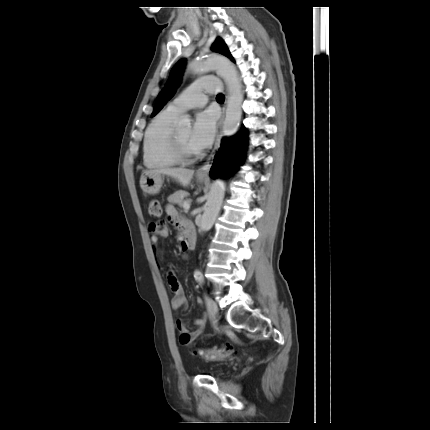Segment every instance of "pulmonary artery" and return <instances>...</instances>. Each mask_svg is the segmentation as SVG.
Instances as JSON below:
<instances>
[{
  "label": "pulmonary artery",
  "mask_w": 430,
  "mask_h": 430,
  "mask_svg": "<svg viewBox=\"0 0 430 430\" xmlns=\"http://www.w3.org/2000/svg\"><path fill=\"white\" fill-rule=\"evenodd\" d=\"M219 91V83L213 78H200L189 85L168 106L170 111L178 114L190 109L203 107L207 101V94H215Z\"/></svg>",
  "instance_id": "e3ab8cb5"
}]
</instances>
